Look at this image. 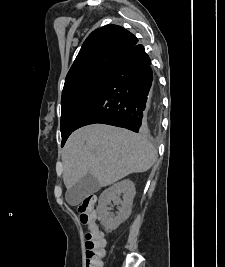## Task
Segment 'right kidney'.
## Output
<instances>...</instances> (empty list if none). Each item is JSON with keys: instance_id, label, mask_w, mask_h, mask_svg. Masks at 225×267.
<instances>
[{"instance_id": "right-kidney-1", "label": "right kidney", "mask_w": 225, "mask_h": 267, "mask_svg": "<svg viewBox=\"0 0 225 267\" xmlns=\"http://www.w3.org/2000/svg\"><path fill=\"white\" fill-rule=\"evenodd\" d=\"M121 194L123 200L120 199ZM135 194V184L130 179L122 180L102 192L98 201L97 213L98 219L106 231L115 230L124 220L129 218ZM111 201L116 205H121L115 217L108 211V205L111 204Z\"/></svg>"}]
</instances>
